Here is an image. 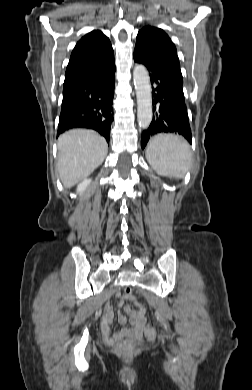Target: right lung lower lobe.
Returning <instances> with one entry per match:
<instances>
[{"instance_id": "right-lung-lower-lobe-1", "label": "right lung lower lobe", "mask_w": 252, "mask_h": 390, "mask_svg": "<svg viewBox=\"0 0 252 390\" xmlns=\"http://www.w3.org/2000/svg\"><path fill=\"white\" fill-rule=\"evenodd\" d=\"M115 65L101 77L83 81L63 91L58 135L71 128L98 131L107 142L113 118Z\"/></svg>"}]
</instances>
